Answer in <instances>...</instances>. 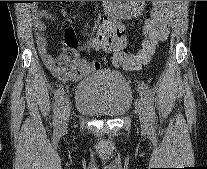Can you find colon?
<instances>
[{
	"label": "colon",
	"instance_id": "5ec220e1",
	"mask_svg": "<svg viewBox=\"0 0 207 169\" xmlns=\"http://www.w3.org/2000/svg\"><path fill=\"white\" fill-rule=\"evenodd\" d=\"M173 1H153V7L145 19L144 40L136 54H129L126 45L115 43V33L99 27L93 47L101 51H113L112 62L126 70H137L147 64L155 54L169 29L170 8Z\"/></svg>",
	"mask_w": 207,
	"mask_h": 169
}]
</instances>
